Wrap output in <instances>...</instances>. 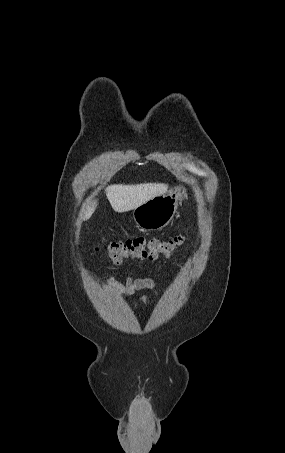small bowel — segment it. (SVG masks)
Returning <instances> with one entry per match:
<instances>
[{
	"instance_id": "obj_1",
	"label": "small bowel",
	"mask_w": 285,
	"mask_h": 453,
	"mask_svg": "<svg viewBox=\"0 0 285 453\" xmlns=\"http://www.w3.org/2000/svg\"><path fill=\"white\" fill-rule=\"evenodd\" d=\"M152 290L157 292L156 282L151 278H133L131 274L127 275L125 282L117 287V291L124 296H131L135 291ZM149 299L144 296L141 298V306L146 307Z\"/></svg>"
}]
</instances>
